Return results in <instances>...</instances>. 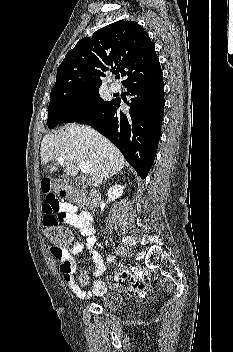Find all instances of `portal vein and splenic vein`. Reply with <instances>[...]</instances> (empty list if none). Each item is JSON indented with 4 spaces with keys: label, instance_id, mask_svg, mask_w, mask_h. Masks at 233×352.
<instances>
[{
    "label": "portal vein and splenic vein",
    "instance_id": "1",
    "mask_svg": "<svg viewBox=\"0 0 233 352\" xmlns=\"http://www.w3.org/2000/svg\"><path fill=\"white\" fill-rule=\"evenodd\" d=\"M57 161L59 163H63L65 161V158L64 157H58L57 158ZM78 166L79 168L81 169V171L84 173V174H89L90 171H91V164H89L88 162H79L78 163Z\"/></svg>",
    "mask_w": 233,
    "mask_h": 352
}]
</instances>
